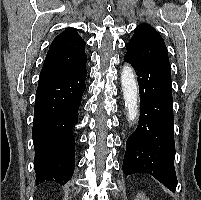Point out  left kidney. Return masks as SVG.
<instances>
[{
  "mask_svg": "<svg viewBox=\"0 0 201 200\" xmlns=\"http://www.w3.org/2000/svg\"><path fill=\"white\" fill-rule=\"evenodd\" d=\"M135 200H149V199H147L143 193H138Z\"/></svg>",
  "mask_w": 201,
  "mask_h": 200,
  "instance_id": "1",
  "label": "left kidney"
}]
</instances>
